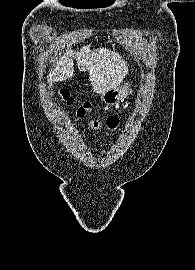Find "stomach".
<instances>
[{"label": "stomach", "instance_id": "1", "mask_svg": "<svg viewBox=\"0 0 195 270\" xmlns=\"http://www.w3.org/2000/svg\"><path fill=\"white\" fill-rule=\"evenodd\" d=\"M129 93L127 86L122 88H112L101 94L102 101L107 105H115L120 99L125 97Z\"/></svg>", "mask_w": 195, "mask_h": 270}]
</instances>
